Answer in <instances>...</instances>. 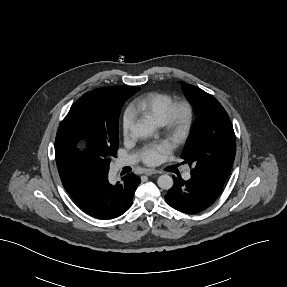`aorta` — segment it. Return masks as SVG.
<instances>
[{"label":"aorta","instance_id":"obj_1","mask_svg":"<svg viewBox=\"0 0 287 287\" xmlns=\"http://www.w3.org/2000/svg\"><path fill=\"white\" fill-rule=\"evenodd\" d=\"M153 132L154 128L145 122H138L132 128V134L140 138L149 137ZM157 184L161 189L168 190L173 186V179L171 176L164 174L158 177Z\"/></svg>","mask_w":287,"mask_h":287}]
</instances>
